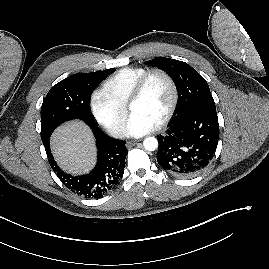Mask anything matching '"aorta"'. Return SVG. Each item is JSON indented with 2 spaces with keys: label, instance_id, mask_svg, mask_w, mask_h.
I'll return each instance as SVG.
<instances>
[{
  "label": "aorta",
  "instance_id": "obj_1",
  "mask_svg": "<svg viewBox=\"0 0 269 269\" xmlns=\"http://www.w3.org/2000/svg\"><path fill=\"white\" fill-rule=\"evenodd\" d=\"M143 146L147 151H154L158 147V140L155 137H147L143 141Z\"/></svg>",
  "mask_w": 269,
  "mask_h": 269
}]
</instances>
